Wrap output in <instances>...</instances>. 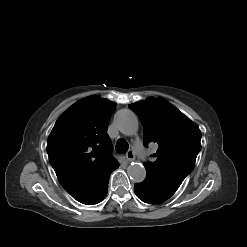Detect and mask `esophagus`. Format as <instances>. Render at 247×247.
Instances as JSON below:
<instances>
[{
	"label": "esophagus",
	"mask_w": 247,
	"mask_h": 247,
	"mask_svg": "<svg viewBox=\"0 0 247 247\" xmlns=\"http://www.w3.org/2000/svg\"><path fill=\"white\" fill-rule=\"evenodd\" d=\"M126 158L128 161H134L135 160V154L132 150H129L127 153H126Z\"/></svg>",
	"instance_id": "esophagus-1"
}]
</instances>
